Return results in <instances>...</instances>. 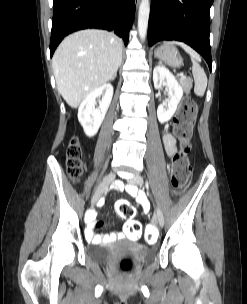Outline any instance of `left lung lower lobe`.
<instances>
[{"label":"left lung lower lobe","mask_w":247,"mask_h":304,"mask_svg":"<svg viewBox=\"0 0 247 304\" xmlns=\"http://www.w3.org/2000/svg\"><path fill=\"white\" fill-rule=\"evenodd\" d=\"M212 3L213 0H153L148 25L149 46L160 40L182 41L205 58L211 71Z\"/></svg>","instance_id":"1"}]
</instances>
